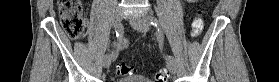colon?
<instances>
[{"label": "colon", "instance_id": "colon-1", "mask_svg": "<svg viewBox=\"0 0 279 82\" xmlns=\"http://www.w3.org/2000/svg\"><path fill=\"white\" fill-rule=\"evenodd\" d=\"M62 26L68 36L74 40L82 39L87 32L82 0H57ZM204 28V21L200 16H195L191 24V34L197 37ZM133 68L126 65H118L115 68L117 76H126L133 73ZM168 74L159 70L154 74L155 82H167Z\"/></svg>", "mask_w": 279, "mask_h": 82}]
</instances>
